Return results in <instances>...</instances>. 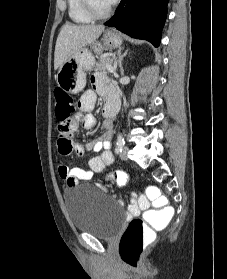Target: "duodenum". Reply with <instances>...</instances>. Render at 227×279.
<instances>
[{
    "label": "duodenum",
    "mask_w": 227,
    "mask_h": 279,
    "mask_svg": "<svg viewBox=\"0 0 227 279\" xmlns=\"http://www.w3.org/2000/svg\"><path fill=\"white\" fill-rule=\"evenodd\" d=\"M119 110L118 104L117 102H115L114 100H109L107 101L105 108H104V115L107 118H111L112 116H114Z\"/></svg>",
    "instance_id": "duodenum-1"
}]
</instances>
